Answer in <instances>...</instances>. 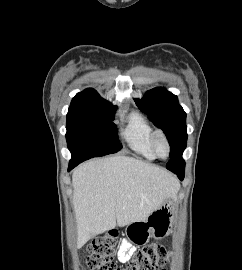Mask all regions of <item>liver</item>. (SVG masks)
Returning a JSON list of instances; mask_svg holds the SVG:
<instances>
[{
    "label": "liver",
    "mask_w": 242,
    "mask_h": 270,
    "mask_svg": "<svg viewBox=\"0 0 242 270\" xmlns=\"http://www.w3.org/2000/svg\"><path fill=\"white\" fill-rule=\"evenodd\" d=\"M78 246L95 235L146 219L175 197L179 182L144 161L113 156L78 166L72 175Z\"/></svg>",
    "instance_id": "6515ba94"
}]
</instances>
